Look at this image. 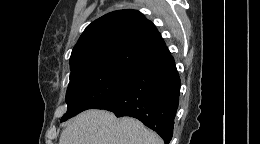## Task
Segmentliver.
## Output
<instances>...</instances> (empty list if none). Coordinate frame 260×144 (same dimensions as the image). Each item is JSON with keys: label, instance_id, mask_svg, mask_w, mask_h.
I'll return each instance as SVG.
<instances>
[{"label": "liver", "instance_id": "1", "mask_svg": "<svg viewBox=\"0 0 260 144\" xmlns=\"http://www.w3.org/2000/svg\"><path fill=\"white\" fill-rule=\"evenodd\" d=\"M59 144H163V140L137 119H117L109 111L90 109L67 123Z\"/></svg>", "mask_w": 260, "mask_h": 144}]
</instances>
